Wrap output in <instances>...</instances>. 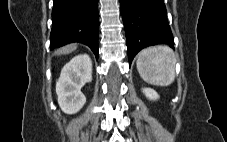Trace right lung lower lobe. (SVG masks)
Segmentation results:
<instances>
[{"instance_id":"98d812e1","label":"right lung lower lobe","mask_w":227,"mask_h":142,"mask_svg":"<svg viewBox=\"0 0 227 142\" xmlns=\"http://www.w3.org/2000/svg\"><path fill=\"white\" fill-rule=\"evenodd\" d=\"M52 21L51 50L80 42L98 58V0H54Z\"/></svg>"}]
</instances>
